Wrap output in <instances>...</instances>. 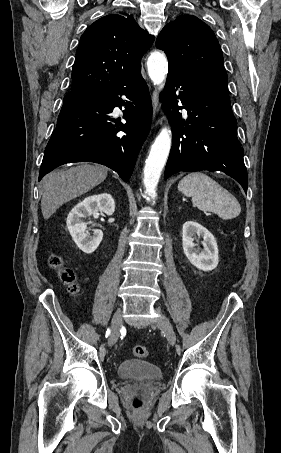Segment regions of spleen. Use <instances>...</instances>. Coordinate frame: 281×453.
<instances>
[{
  "label": "spleen",
  "instance_id": "spleen-1",
  "mask_svg": "<svg viewBox=\"0 0 281 453\" xmlns=\"http://www.w3.org/2000/svg\"><path fill=\"white\" fill-rule=\"evenodd\" d=\"M178 190L185 196H192V202L199 210L215 212L224 220L235 218L241 212L237 198L204 172H190L183 176Z\"/></svg>",
  "mask_w": 281,
  "mask_h": 453
}]
</instances>
